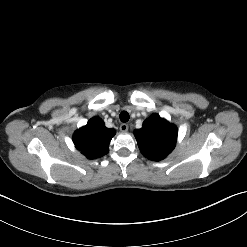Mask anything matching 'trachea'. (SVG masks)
Returning a JSON list of instances; mask_svg holds the SVG:
<instances>
[{"label":"trachea","instance_id":"3493384b","mask_svg":"<svg viewBox=\"0 0 247 247\" xmlns=\"http://www.w3.org/2000/svg\"><path fill=\"white\" fill-rule=\"evenodd\" d=\"M119 117H120V120H121L123 123H126V122L129 120V118H130L128 112H126V111H122V112L120 113Z\"/></svg>","mask_w":247,"mask_h":247}]
</instances>
